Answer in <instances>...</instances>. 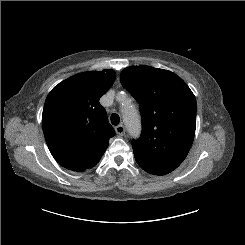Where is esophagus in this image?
<instances>
[{
  "instance_id": "esophagus-1",
  "label": "esophagus",
  "mask_w": 245,
  "mask_h": 245,
  "mask_svg": "<svg viewBox=\"0 0 245 245\" xmlns=\"http://www.w3.org/2000/svg\"><path fill=\"white\" fill-rule=\"evenodd\" d=\"M115 131L118 135H123L125 133V128L123 125H118L115 127Z\"/></svg>"
}]
</instances>
